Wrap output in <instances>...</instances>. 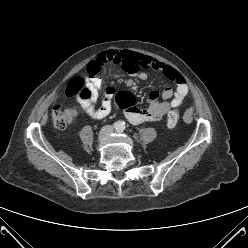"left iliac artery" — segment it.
<instances>
[{
    "instance_id": "obj_1",
    "label": "left iliac artery",
    "mask_w": 248,
    "mask_h": 248,
    "mask_svg": "<svg viewBox=\"0 0 248 248\" xmlns=\"http://www.w3.org/2000/svg\"><path fill=\"white\" fill-rule=\"evenodd\" d=\"M124 129H125V127H123L122 129H120V131H119V132H122Z\"/></svg>"
}]
</instances>
